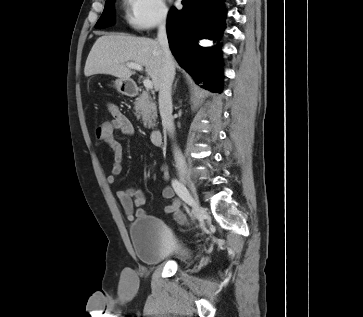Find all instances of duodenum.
I'll use <instances>...</instances> for the list:
<instances>
[{
	"mask_svg": "<svg viewBox=\"0 0 363 317\" xmlns=\"http://www.w3.org/2000/svg\"><path fill=\"white\" fill-rule=\"evenodd\" d=\"M139 91V88L136 84H129L126 87V92L129 96H135ZM150 138L152 143L160 147L163 145V136L162 132L159 129H153L150 133Z\"/></svg>",
	"mask_w": 363,
	"mask_h": 317,
	"instance_id": "1",
	"label": "duodenum"
}]
</instances>
